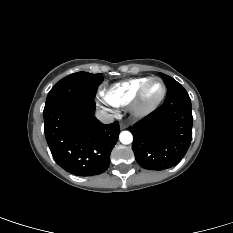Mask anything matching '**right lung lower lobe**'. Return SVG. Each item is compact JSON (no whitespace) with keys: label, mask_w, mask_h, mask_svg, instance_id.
<instances>
[{"label":"right lung lower lobe","mask_w":233,"mask_h":233,"mask_svg":"<svg viewBox=\"0 0 233 233\" xmlns=\"http://www.w3.org/2000/svg\"><path fill=\"white\" fill-rule=\"evenodd\" d=\"M91 97H76L44 109L45 137L55 162L77 176L104 172L120 128L95 118Z\"/></svg>","instance_id":"1"}]
</instances>
